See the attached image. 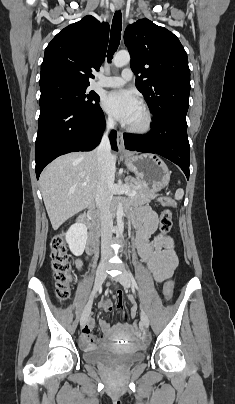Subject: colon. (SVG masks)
<instances>
[{"instance_id": "colon-1", "label": "colon", "mask_w": 235, "mask_h": 404, "mask_svg": "<svg viewBox=\"0 0 235 404\" xmlns=\"http://www.w3.org/2000/svg\"><path fill=\"white\" fill-rule=\"evenodd\" d=\"M161 205L167 207L160 217V235L165 236L172 227V211L169 207H174L175 203L168 197H160ZM51 265L53 271L54 284L57 298L64 302L70 297V283L72 281L71 266L67 254V243L63 235H56L51 241ZM173 279L169 277L164 287V298L170 300L173 292ZM135 328L138 327L134 323Z\"/></svg>"}]
</instances>
